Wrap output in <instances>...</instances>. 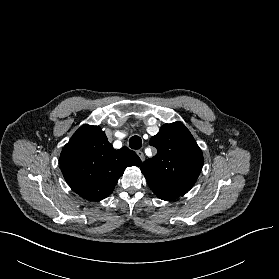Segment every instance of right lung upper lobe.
<instances>
[{
	"mask_svg": "<svg viewBox=\"0 0 279 279\" xmlns=\"http://www.w3.org/2000/svg\"><path fill=\"white\" fill-rule=\"evenodd\" d=\"M141 160L127 147L115 150L99 126L83 125L60 155L63 176L74 192L89 201H101L114 190L129 166Z\"/></svg>",
	"mask_w": 279,
	"mask_h": 279,
	"instance_id": "1",
	"label": "right lung upper lobe"
}]
</instances>
